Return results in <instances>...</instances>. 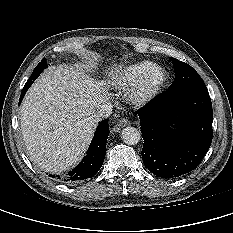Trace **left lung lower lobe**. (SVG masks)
<instances>
[{
  "label": "left lung lower lobe",
  "mask_w": 233,
  "mask_h": 233,
  "mask_svg": "<svg viewBox=\"0 0 233 233\" xmlns=\"http://www.w3.org/2000/svg\"><path fill=\"white\" fill-rule=\"evenodd\" d=\"M144 165L161 178L186 174L200 164L212 141V104L207 88L166 90L137 110ZM171 123L176 129H171Z\"/></svg>",
  "instance_id": "1"
}]
</instances>
